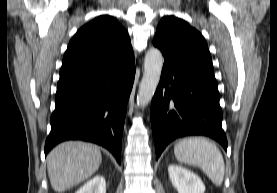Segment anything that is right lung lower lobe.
Here are the masks:
<instances>
[{
  "label": "right lung lower lobe",
  "instance_id": "right-lung-lower-lobe-1",
  "mask_svg": "<svg viewBox=\"0 0 277 193\" xmlns=\"http://www.w3.org/2000/svg\"><path fill=\"white\" fill-rule=\"evenodd\" d=\"M135 76L131 56L105 70L59 80L45 155L58 143L83 140L107 148L118 163L127 102Z\"/></svg>",
  "mask_w": 277,
  "mask_h": 193
}]
</instances>
